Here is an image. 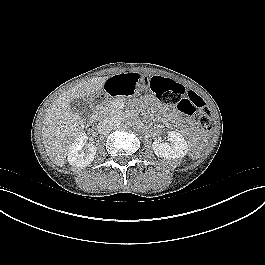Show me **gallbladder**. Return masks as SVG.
I'll return each instance as SVG.
<instances>
[{
	"instance_id": "obj_1",
	"label": "gallbladder",
	"mask_w": 265,
	"mask_h": 265,
	"mask_svg": "<svg viewBox=\"0 0 265 265\" xmlns=\"http://www.w3.org/2000/svg\"><path fill=\"white\" fill-rule=\"evenodd\" d=\"M71 108L73 111L77 112L83 119H90L92 109L87 100L75 99L71 102Z\"/></svg>"
}]
</instances>
